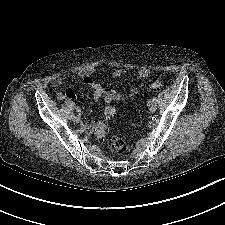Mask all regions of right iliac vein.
<instances>
[{
  "mask_svg": "<svg viewBox=\"0 0 225 225\" xmlns=\"http://www.w3.org/2000/svg\"><path fill=\"white\" fill-rule=\"evenodd\" d=\"M73 121H74L75 123H79V122H80V117H79V116H75V117L73 118Z\"/></svg>",
  "mask_w": 225,
  "mask_h": 225,
  "instance_id": "1",
  "label": "right iliac vein"
}]
</instances>
